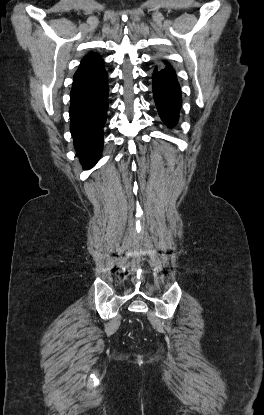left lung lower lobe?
<instances>
[{
	"mask_svg": "<svg viewBox=\"0 0 264 415\" xmlns=\"http://www.w3.org/2000/svg\"><path fill=\"white\" fill-rule=\"evenodd\" d=\"M154 100L163 122L173 127L181 108V91L173 68L167 63L164 69H155L153 76Z\"/></svg>",
	"mask_w": 264,
	"mask_h": 415,
	"instance_id": "left-lung-lower-lobe-1",
	"label": "left lung lower lobe"
}]
</instances>
